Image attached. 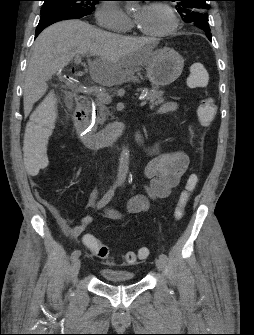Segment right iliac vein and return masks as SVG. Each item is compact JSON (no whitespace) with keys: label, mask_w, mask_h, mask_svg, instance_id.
Returning <instances> with one entry per match:
<instances>
[{"label":"right iliac vein","mask_w":254,"mask_h":335,"mask_svg":"<svg viewBox=\"0 0 254 335\" xmlns=\"http://www.w3.org/2000/svg\"><path fill=\"white\" fill-rule=\"evenodd\" d=\"M81 267V260L79 258H76L75 260H73V275L75 276L79 269Z\"/></svg>","instance_id":"obj_1"}]
</instances>
